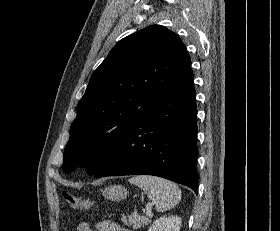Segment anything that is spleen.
<instances>
[{
  "label": "spleen",
  "mask_w": 280,
  "mask_h": 231,
  "mask_svg": "<svg viewBox=\"0 0 280 231\" xmlns=\"http://www.w3.org/2000/svg\"><path fill=\"white\" fill-rule=\"evenodd\" d=\"M130 183H135L146 191L152 203H155L157 211H166L177 205L181 199V189L176 183L156 177V175H135L130 177Z\"/></svg>",
  "instance_id": "3e777b00"
}]
</instances>
